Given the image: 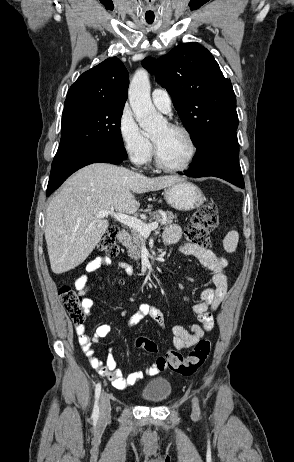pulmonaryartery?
Here are the masks:
<instances>
[{
	"instance_id": "1",
	"label": "pulmonary artery",
	"mask_w": 294,
	"mask_h": 462,
	"mask_svg": "<svg viewBox=\"0 0 294 462\" xmlns=\"http://www.w3.org/2000/svg\"><path fill=\"white\" fill-rule=\"evenodd\" d=\"M153 104L164 113H168L171 110V98L169 93L164 89H154L151 93Z\"/></svg>"
}]
</instances>
